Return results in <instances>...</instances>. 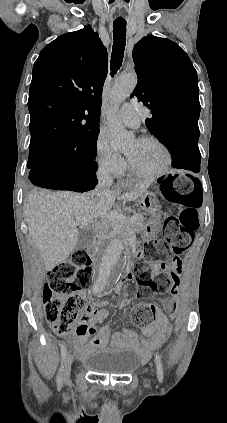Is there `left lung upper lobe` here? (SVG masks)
I'll return each instance as SVG.
<instances>
[{
  "mask_svg": "<svg viewBox=\"0 0 227 423\" xmlns=\"http://www.w3.org/2000/svg\"><path fill=\"white\" fill-rule=\"evenodd\" d=\"M138 83L136 96L152 114L146 126L160 140L199 130L201 110L197 72L176 43L149 35L133 49Z\"/></svg>",
  "mask_w": 227,
  "mask_h": 423,
  "instance_id": "obj_1",
  "label": "left lung upper lobe"
}]
</instances>
